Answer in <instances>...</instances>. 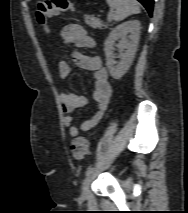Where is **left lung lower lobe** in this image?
I'll return each mask as SVG.
<instances>
[{"label": "left lung lower lobe", "instance_id": "left-lung-lower-lobe-1", "mask_svg": "<svg viewBox=\"0 0 188 213\" xmlns=\"http://www.w3.org/2000/svg\"><path fill=\"white\" fill-rule=\"evenodd\" d=\"M147 9L149 14H152L154 0H138Z\"/></svg>", "mask_w": 188, "mask_h": 213}]
</instances>
